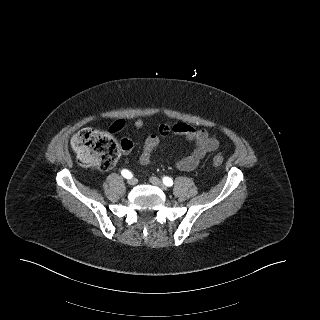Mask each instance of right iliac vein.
<instances>
[{"instance_id":"1","label":"right iliac vein","mask_w":320,"mask_h":320,"mask_svg":"<svg viewBox=\"0 0 320 320\" xmlns=\"http://www.w3.org/2000/svg\"><path fill=\"white\" fill-rule=\"evenodd\" d=\"M128 184L131 185V186H134L137 184V179L135 178H131L128 180Z\"/></svg>"}]
</instances>
